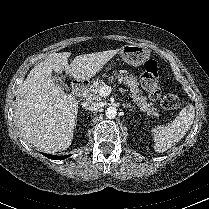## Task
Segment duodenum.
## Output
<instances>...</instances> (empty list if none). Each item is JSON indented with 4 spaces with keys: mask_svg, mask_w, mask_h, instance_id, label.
Masks as SVG:
<instances>
[{
    "mask_svg": "<svg viewBox=\"0 0 209 209\" xmlns=\"http://www.w3.org/2000/svg\"><path fill=\"white\" fill-rule=\"evenodd\" d=\"M85 87H86V84L83 81L76 80L73 83V93L79 95L82 93Z\"/></svg>",
    "mask_w": 209,
    "mask_h": 209,
    "instance_id": "410a0bca",
    "label": "duodenum"
}]
</instances>
